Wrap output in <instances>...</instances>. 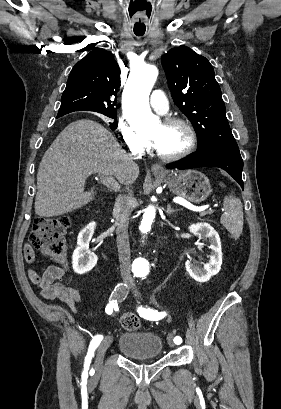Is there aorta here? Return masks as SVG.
<instances>
[{
  "label": "aorta",
  "mask_w": 281,
  "mask_h": 409,
  "mask_svg": "<svg viewBox=\"0 0 281 409\" xmlns=\"http://www.w3.org/2000/svg\"><path fill=\"white\" fill-rule=\"evenodd\" d=\"M158 69L153 65L143 64L136 67L127 82L123 105L125 115L131 127L140 133L149 132L159 125V119L149 106V95L157 79ZM156 209L149 205L143 214L140 225L142 231H148L155 218Z\"/></svg>",
  "instance_id": "1"
}]
</instances>
